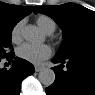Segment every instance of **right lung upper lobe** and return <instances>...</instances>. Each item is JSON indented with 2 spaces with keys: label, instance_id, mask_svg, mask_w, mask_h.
I'll use <instances>...</instances> for the list:
<instances>
[{
  "label": "right lung upper lobe",
  "instance_id": "1",
  "mask_svg": "<svg viewBox=\"0 0 95 95\" xmlns=\"http://www.w3.org/2000/svg\"><path fill=\"white\" fill-rule=\"evenodd\" d=\"M32 11V7L0 3V19L21 20Z\"/></svg>",
  "mask_w": 95,
  "mask_h": 95
}]
</instances>
